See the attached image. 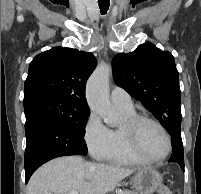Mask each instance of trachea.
<instances>
[{
	"label": "trachea",
	"mask_w": 201,
	"mask_h": 194,
	"mask_svg": "<svg viewBox=\"0 0 201 194\" xmlns=\"http://www.w3.org/2000/svg\"><path fill=\"white\" fill-rule=\"evenodd\" d=\"M101 14H106L109 9L110 3L98 2Z\"/></svg>",
	"instance_id": "trachea-1"
}]
</instances>
